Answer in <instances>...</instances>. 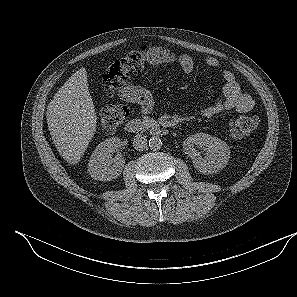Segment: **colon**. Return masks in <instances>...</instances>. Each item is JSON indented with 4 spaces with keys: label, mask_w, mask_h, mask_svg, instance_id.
<instances>
[{
    "label": "colon",
    "mask_w": 297,
    "mask_h": 297,
    "mask_svg": "<svg viewBox=\"0 0 297 297\" xmlns=\"http://www.w3.org/2000/svg\"><path fill=\"white\" fill-rule=\"evenodd\" d=\"M147 54L143 50L128 52L122 58L113 62L102 77L103 87L107 91L122 89L128 82L129 76L145 68ZM124 105L113 104L103 108L100 113V128L104 132H113L127 117ZM259 119L255 115H243L231 121L227 128L230 140L240 141L249 136L257 127Z\"/></svg>",
    "instance_id": "1"
}]
</instances>
